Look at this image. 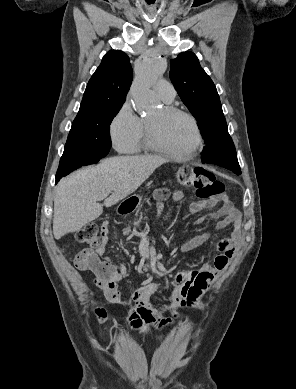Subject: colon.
<instances>
[{
  "label": "colon",
  "mask_w": 296,
  "mask_h": 389,
  "mask_svg": "<svg viewBox=\"0 0 296 389\" xmlns=\"http://www.w3.org/2000/svg\"><path fill=\"white\" fill-rule=\"evenodd\" d=\"M175 181L178 185L192 188L197 198L213 206L224 199V184L215 175L201 167H183L175 174ZM102 230L95 223H89L76 232V240L89 247H96L100 244ZM79 263H84L82 258H78ZM99 320L106 317L103 309L97 310Z\"/></svg>",
  "instance_id": "obj_1"
}]
</instances>
